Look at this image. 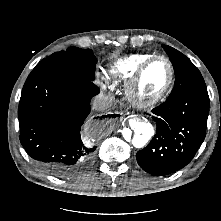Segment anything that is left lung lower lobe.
<instances>
[{"mask_svg": "<svg viewBox=\"0 0 221 221\" xmlns=\"http://www.w3.org/2000/svg\"><path fill=\"white\" fill-rule=\"evenodd\" d=\"M156 134L137 152L139 166L152 175L176 172L193 159L205 139L209 114L207 89L168 98L152 110Z\"/></svg>", "mask_w": 221, "mask_h": 221, "instance_id": "0a47b994", "label": "left lung lower lobe"}]
</instances>
